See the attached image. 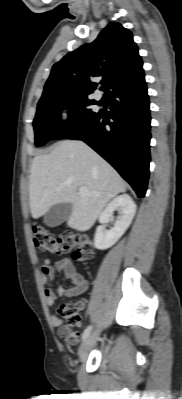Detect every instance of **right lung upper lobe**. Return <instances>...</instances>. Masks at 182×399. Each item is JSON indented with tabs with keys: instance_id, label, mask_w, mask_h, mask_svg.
Segmentation results:
<instances>
[{
	"instance_id": "right-lung-upper-lobe-1",
	"label": "right lung upper lobe",
	"mask_w": 182,
	"mask_h": 399,
	"mask_svg": "<svg viewBox=\"0 0 182 399\" xmlns=\"http://www.w3.org/2000/svg\"><path fill=\"white\" fill-rule=\"evenodd\" d=\"M142 64L132 33L112 22L94 42L67 54L53 66L40 101L57 96L88 95L97 86L90 79L100 75L108 78L100 88L107 91L118 82L143 74Z\"/></svg>"
}]
</instances>
